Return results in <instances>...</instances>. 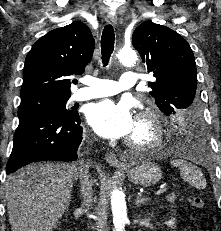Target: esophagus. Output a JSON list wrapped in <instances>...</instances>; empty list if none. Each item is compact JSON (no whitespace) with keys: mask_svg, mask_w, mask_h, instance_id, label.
<instances>
[{"mask_svg":"<svg viewBox=\"0 0 221 231\" xmlns=\"http://www.w3.org/2000/svg\"><path fill=\"white\" fill-rule=\"evenodd\" d=\"M107 22L116 26L117 18L114 14L107 15ZM106 161L112 166H120V162L113 152H107L105 155Z\"/></svg>","mask_w":221,"mask_h":231,"instance_id":"esophagus-1","label":"esophagus"}]
</instances>
